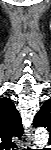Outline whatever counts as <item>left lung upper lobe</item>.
I'll return each mask as SVG.
<instances>
[{"instance_id":"1","label":"left lung upper lobe","mask_w":51,"mask_h":150,"mask_svg":"<svg viewBox=\"0 0 51 150\" xmlns=\"http://www.w3.org/2000/svg\"><path fill=\"white\" fill-rule=\"evenodd\" d=\"M35 127H46L51 132V100H47L40 111L35 115L34 122Z\"/></svg>"}]
</instances>
